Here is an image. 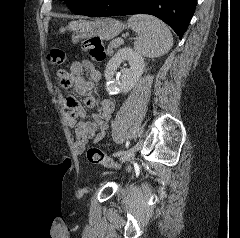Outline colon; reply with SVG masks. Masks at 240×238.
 Listing matches in <instances>:
<instances>
[{"instance_id":"5ec220e1","label":"colon","mask_w":240,"mask_h":238,"mask_svg":"<svg viewBox=\"0 0 240 238\" xmlns=\"http://www.w3.org/2000/svg\"><path fill=\"white\" fill-rule=\"evenodd\" d=\"M83 50L90 54V56L96 61H102L105 59V47L103 42L96 37L86 39L82 44ZM47 60L52 65H60L66 60V53L59 48L52 49L47 54ZM86 157L88 161L95 164H101L105 167L116 166L115 161L108 157L100 149L91 147L86 152Z\"/></svg>"}]
</instances>
